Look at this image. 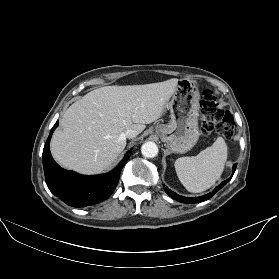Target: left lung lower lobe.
I'll list each match as a JSON object with an SVG mask.
<instances>
[{
  "instance_id": "obj_1",
  "label": "left lung lower lobe",
  "mask_w": 279,
  "mask_h": 279,
  "mask_svg": "<svg viewBox=\"0 0 279 279\" xmlns=\"http://www.w3.org/2000/svg\"><path fill=\"white\" fill-rule=\"evenodd\" d=\"M236 166H237V164L233 165V174L236 170ZM232 176L230 178H228L227 180L223 181L220 185H218L215 188V190L213 191V193H209V194L201 196V197H184V196L176 194L175 192L171 191L167 187H165L164 189L171 198H173L179 202H182L185 204L199 203V202H203V201L210 199L217 191H219L226 183H228L231 180Z\"/></svg>"
}]
</instances>
